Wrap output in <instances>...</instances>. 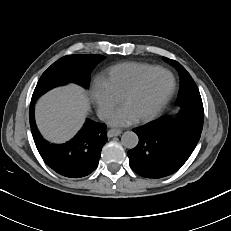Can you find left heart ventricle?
Returning a JSON list of instances; mask_svg holds the SVG:
<instances>
[{"instance_id":"b2bd125f","label":"left heart ventricle","mask_w":231,"mask_h":231,"mask_svg":"<svg viewBox=\"0 0 231 231\" xmlns=\"http://www.w3.org/2000/svg\"><path fill=\"white\" fill-rule=\"evenodd\" d=\"M171 86V76L165 72L158 73L124 104L132 110L137 118L146 116L157 109Z\"/></svg>"}]
</instances>
